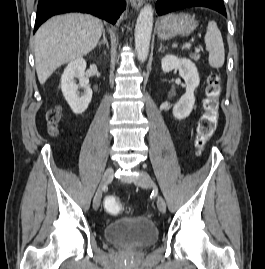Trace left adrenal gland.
Wrapping results in <instances>:
<instances>
[{
  "label": "left adrenal gland",
  "mask_w": 265,
  "mask_h": 269,
  "mask_svg": "<svg viewBox=\"0 0 265 269\" xmlns=\"http://www.w3.org/2000/svg\"><path fill=\"white\" fill-rule=\"evenodd\" d=\"M165 48L162 44H160L159 51L162 52V49Z\"/></svg>",
  "instance_id": "a2214340"
}]
</instances>
